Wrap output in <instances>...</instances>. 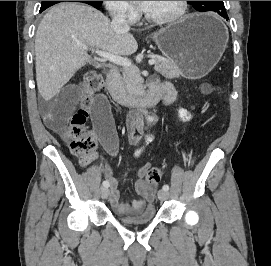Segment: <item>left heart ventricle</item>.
Segmentation results:
<instances>
[{"mask_svg":"<svg viewBox=\"0 0 271 266\" xmlns=\"http://www.w3.org/2000/svg\"><path fill=\"white\" fill-rule=\"evenodd\" d=\"M178 2L179 1H151L145 12L153 16L171 15L178 9Z\"/></svg>","mask_w":271,"mask_h":266,"instance_id":"left-heart-ventricle-1","label":"left heart ventricle"}]
</instances>
